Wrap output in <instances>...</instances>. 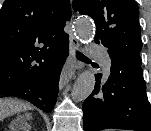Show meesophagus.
<instances>
[{
	"label": "esophagus",
	"instance_id": "obj_1",
	"mask_svg": "<svg viewBox=\"0 0 151 131\" xmlns=\"http://www.w3.org/2000/svg\"><path fill=\"white\" fill-rule=\"evenodd\" d=\"M78 48H79L78 40L72 33H70V51L67 61L61 72L59 81L60 89H62L71 78L75 77L77 70L81 68L79 62L75 57V52Z\"/></svg>",
	"mask_w": 151,
	"mask_h": 131
}]
</instances>
